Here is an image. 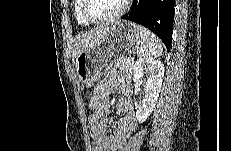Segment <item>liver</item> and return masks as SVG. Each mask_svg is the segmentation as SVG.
Listing matches in <instances>:
<instances>
[{
  "label": "liver",
  "instance_id": "1",
  "mask_svg": "<svg viewBox=\"0 0 231 151\" xmlns=\"http://www.w3.org/2000/svg\"><path fill=\"white\" fill-rule=\"evenodd\" d=\"M112 24H103L88 32L78 34L73 50V62L82 52L97 45L110 30Z\"/></svg>",
  "mask_w": 231,
  "mask_h": 151
}]
</instances>
